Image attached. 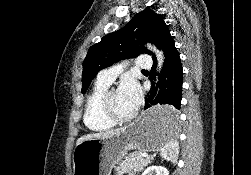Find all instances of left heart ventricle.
I'll list each match as a JSON object with an SVG mask.
<instances>
[{
	"mask_svg": "<svg viewBox=\"0 0 251 175\" xmlns=\"http://www.w3.org/2000/svg\"><path fill=\"white\" fill-rule=\"evenodd\" d=\"M109 103H110L111 110L115 114L122 115V116H128L131 114V112L119 100L118 90H115L112 92L109 99Z\"/></svg>",
	"mask_w": 251,
	"mask_h": 175,
	"instance_id": "b2bd125f",
	"label": "left heart ventricle"
}]
</instances>
